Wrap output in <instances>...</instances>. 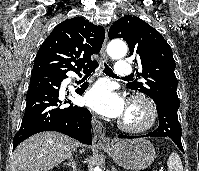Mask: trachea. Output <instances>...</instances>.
<instances>
[{"instance_id": "trachea-1", "label": "trachea", "mask_w": 199, "mask_h": 171, "mask_svg": "<svg viewBox=\"0 0 199 171\" xmlns=\"http://www.w3.org/2000/svg\"><path fill=\"white\" fill-rule=\"evenodd\" d=\"M103 71H104V73H106L109 76H115V77H117V75L114 74V72L112 71V69L109 68V66L106 63H104V69H103Z\"/></svg>"}]
</instances>
